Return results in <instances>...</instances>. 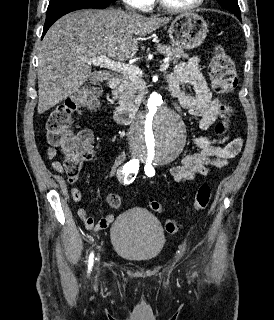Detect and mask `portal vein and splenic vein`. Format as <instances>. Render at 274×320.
<instances>
[{"label":"portal vein and splenic vein","instance_id":"1","mask_svg":"<svg viewBox=\"0 0 274 320\" xmlns=\"http://www.w3.org/2000/svg\"><path fill=\"white\" fill-rule=\"evenodd\" d=\"M80 62H86V64H92V66H100V68H107V70H114V72H120V74H124V76H132V78H140V76H142V70H140V68L130 66V64H122V62H115V60H110L107 56L82 58ZM161 68H163V70L169 68V58L163 60Z\"/></svg>","mask_w":274,"mask_h":320}]
</instances>
